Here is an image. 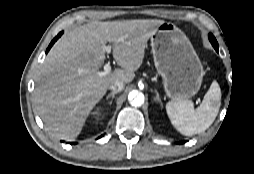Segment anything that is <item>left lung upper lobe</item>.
<instances>
[{
    "mask_svg": "<svg viewBox=\"0 0 254 174\" xmlns=\"http://www.w3.org/2000/svg\"><path fill=\"white\" fill-rule=\"evenodd\" d=\"M209 40H210V42H211V44L213 45L214 48L218 47V43H217L215 37L212 34H209Z\"/></svg>",
    "mask_w": 254,
    "mask_h": 174,
    "instance_id": "obj_1",
    "label": "left lung upper lobe"
}]
</instances>
